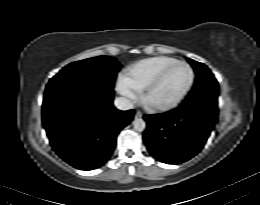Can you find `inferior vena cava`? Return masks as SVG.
Here are the masks:
<instances>
[{"mask_svg":"<svg viewBox=\"0 0 260 205\" xmlns=\"http://www.w3.org/2000/svg\"><path fill=\"white\" fill-rule=\"evenodd\" d=\"M114 105L119 110H129L133 109L134 105L133 102L125 97H118L114 101Z\"/></svg>","mask_w":260,"mask_h":205,"instance_id":"obj_1","label":"inferior vena cava"}]
</instances>
